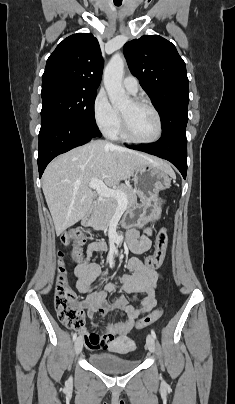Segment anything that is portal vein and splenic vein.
I'll return each instance as SVG.
<instances>
[{"mask_svg": "<svg viewBox=\"0 0 235 404\" xmlns=\"http://www.w3.org/2000/svg\"><path fill=\"white\" fill-rule=\"evenodd\" d=\"M89 187L95 189L101 197L115 198L119 203L123 205L127 204V198L122 191L108 188L103 181L97 178L90 180Z\"/></svg>", "mask_w": 235, "mask_h": 404, "instance_id": "1", "label": "portal vein and splenic vein"}]
</instances>
